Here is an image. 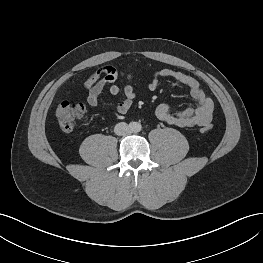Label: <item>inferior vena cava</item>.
Here are the masks:
<instances>
[{
  "label": "inferior vena cava",
  "mask_w": 263,
  "mask_h": 263,
  "mask_svg": "<svg viewBox=\"0 0 263 263\" xmlns=\"http://www.w3.org/2000/svg\"><path fill=\"white\" fill-rule=\"evenodd\" d=\"M114 132L116 135L123 136L126 135L130 132V128L127 123L125 122H120L116 124L114 128Z\"/></svg>",
  "instance_id": "1"
}]
</instances>
